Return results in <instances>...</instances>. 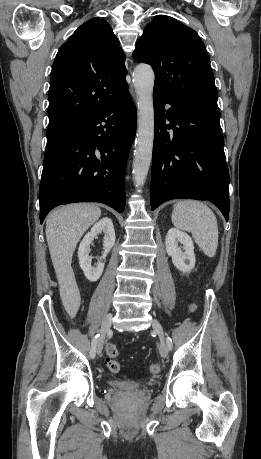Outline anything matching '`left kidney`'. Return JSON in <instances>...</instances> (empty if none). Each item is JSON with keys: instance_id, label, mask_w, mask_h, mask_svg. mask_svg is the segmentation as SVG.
<instances>
[{"instance_id": "obj_1", "label": "left kidney", "mask_w": 261, "mask_h": 459, "mask_svg": "<svg viewBox=\"0 0 261 459\" xmlns=\"http://www.w3.org/2000/svg\"><path fill=\"white\" fill-rule=\"evenodd\" d=\"M182 244V248L178 244ZM166 252L172 257L174 266L183 273L195 266L194 244L191 237L176 228H171L165 238ZM183 249V250H182Z\"/></svg>"}]
</instances>
